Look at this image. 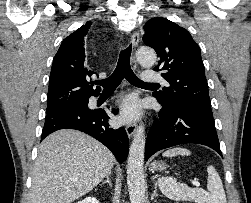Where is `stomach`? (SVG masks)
Returning <instances> with one entry per match:
<instances>
[{"label": "stomach", "mask_w": 251, "mask_h": 203, "mask_svg": "<svg viewBox=\"0 0 251 203\" xmlns=\"http://www.w3.org/2000/svg\"><path fill=\"white\" fill-rule=\"evenodd\" d=\"M151 167L155 170H164L166 168V165L163 162H153L151 164Z\"/></svg>", "instance_id": "obj_1"}]
</instances>
